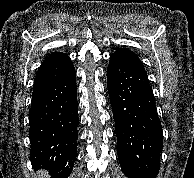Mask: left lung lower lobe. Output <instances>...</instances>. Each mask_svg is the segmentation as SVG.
<instances>
[{
	"instance_id": "1",
	"label": "left lung lower lobe",
	"mask_w": 194,
	"mask_h": 178,
	"mask_svg": "<svg viewBox=\"0 0 194 178\" xmlns=\"http://www.w3.org/2000/svg\"><path fill=\"white\" fill-rule=\"evenodd\" d=\"M107 84L124 174L128 178H156L163 136L146 71L111 56Z\"/></svg>"
}]
</instances>
